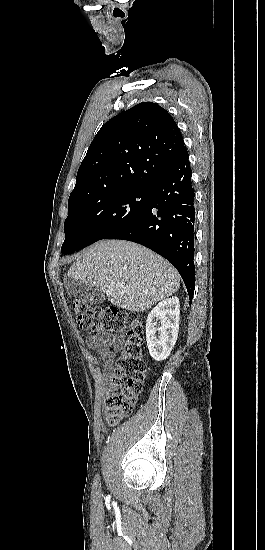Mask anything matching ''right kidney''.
I'll return each mask as SVG.
<instances>
[{
  "label": "right kidney",
  "instance_id": "1",
  "mask_svg": "<svg viewBox=\"0 0 265 550\" xmlns=\"http://www.w3.org/2000/svg\"><path fill=\"white\" fill-rule=\"evenodd\" d=\"M179 299L172 297L158 303L146 321V341L151 357L166 359L174 347L179 330Z\"/></svg>",
  "mask_w": 265,
  "mask_h": 550
}]
</instances>
